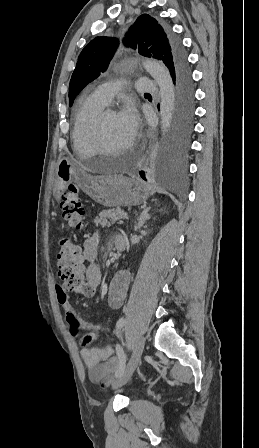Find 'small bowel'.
<instances>
[{"label": "small bowel", "mask_w": 259, "mask_h": 448, "mask_svg": "<svg viewBox=\"0 0 259 448\" xmlns=\"http://www.w3.org/2000/svg\"><path fill=\"white\" fill-rule=\"evenodd\" d=\"M119 243L125 244V240L122 236H118L115 239L116 247ZM98 245L99 235L96 234L84 242L82 253L84 260L90 263L86 269L85 276L93 291L96 290L101 282V271L95 263ZM129 284L130 273L127 270H120L114 275L109 284L107 293V302L110 308L114 310L121 308L126 298ZM57 300L65 309V321L73 334L76 335L80 328L88 329L89 332H96L98 334L104 330L102 326L88 323L80 319L73 310L64 289L61 287L57 288ZM84 337L85 336L80 339V355L88 368L89 376L91 380L106 385L113 374L125 367V363L115 354L113 346L90 349L87 347L88 344L85 343Z\"/></svg>", "instance_id": "obj_1"}]
</instances>
